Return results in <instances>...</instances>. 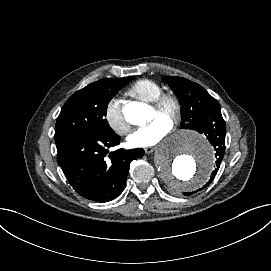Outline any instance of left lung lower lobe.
Wrapping results in <instances>:
<instances>
[{
    "label": "left lung lower lobe",
    "instance_id": "left-lung-lower-lobe-1",
    "mask_svg": "<svg viewBox=\"0 0 271 271\" xmlns=\"http://www.w3.org/2000/svg\"><path fill=\"white\" fill-rule=\"evenodd\" d=\"M201 134H204L210 144L213 146L215 150V170L212 172V175L209 181L198 191L207 187L215 178L216 173L220 167V164L224 158V151H225V134H226V124L224 119L222 118L221 113H216L212 115L211 118L206 120L200 126L196 128ZM193 192H185L184 195L190 196Z\"/></svg>",
    "mask_w": 271,
    "mask_h": 271
}]
</instances>
